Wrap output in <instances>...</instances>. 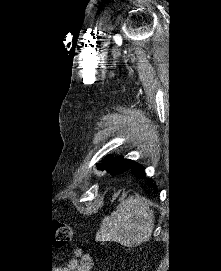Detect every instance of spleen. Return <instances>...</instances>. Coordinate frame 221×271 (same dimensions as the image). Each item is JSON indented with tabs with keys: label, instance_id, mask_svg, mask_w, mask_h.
Instances as JSON below:
<instances>
[{
	"label": "spleen",
	"instance_id": "obj_1",
	"mask_svg": "<svg viewBox=\"0 0 221 271\" xmlns=\"http://www.w3.org/2000/svg\"><path fill=\"white\" fill-rule=\"evenodd\" d=\"M154 213L147 199L127 197L117 205L116 211L104 217L98 241H118L126 247H136L149 241L154 227Z\"/></svg>",
	"mask_w": 221,
	"mask_h": 271
}]
</instances>
